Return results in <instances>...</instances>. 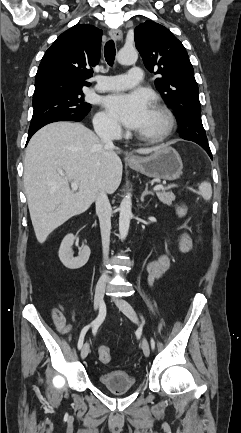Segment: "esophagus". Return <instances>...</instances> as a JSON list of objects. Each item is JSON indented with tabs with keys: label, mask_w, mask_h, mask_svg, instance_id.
Masks as SVG:
<instances>
[{
	"label": "esophagus",
	"mask_w": 241,
	"mask_h": 433,
	"mask_svg": "<svg viewBox=\"0 0 241 433\" xmlns=\"http://www.w3.org/2000/svg\"><path fill=\"white\" fill-rule=\"evenodd\" d=\"M109 35L115 41H120L122 39V32H121V30H119L117 28L111 29L110 32H109ZM127 159L134 160L135 157L133 155H128Z\"/></svg>",
	"instance_id": "1"
}]
</instances>
